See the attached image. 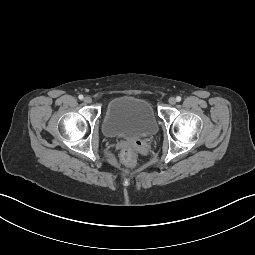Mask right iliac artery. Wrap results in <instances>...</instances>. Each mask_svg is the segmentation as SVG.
Instances as JSON below:
<instances>
[{
    "instance_id": "right-iliac-artery-1",
    "label": "right iliac artery",
    "mask_w": 255,
    "mask_h": 255,
    "mask_svg": "<svg viewBox=\"0 0 255 255\" xmlns=\"http://www.w3.org/2000/svg\"><path fill=\"white\" fill-rule=\"evenodd\" d=\"M84 96L83 95H79V99L83 100Z\"/></svg>"
}]
</instances>
